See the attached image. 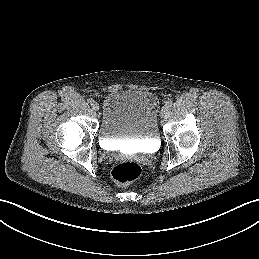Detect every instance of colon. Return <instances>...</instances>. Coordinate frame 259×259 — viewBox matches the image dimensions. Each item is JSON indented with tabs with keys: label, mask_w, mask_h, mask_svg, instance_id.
I'll list each match as a JSON object with an SVG mask.
<instances>
[{
	"label": "colon",
	"mask_w": 259,
	"mask_h": 259,
	"mask_svg": "<svg viewBox=\"0 0 259 259\" xmlns=\"http://www.w3.org/2000/svg\"><path fill=\"white\" fill-rule=\"evenodd\" d=\"M142 173L141 166L133 160H124L112 168V178L119 186L126 187L136 181Z\"/></svg>",
	"instance_id": "1"
}]
</instances>
